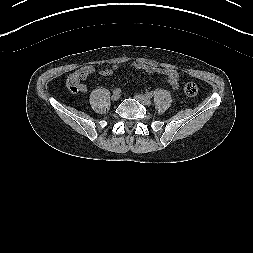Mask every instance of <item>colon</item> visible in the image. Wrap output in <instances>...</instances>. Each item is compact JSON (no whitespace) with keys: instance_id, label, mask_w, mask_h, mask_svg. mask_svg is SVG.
<instances>
[{"instance_id":"colon-1","label":"colon","mask_w":253,"mask_h":253,"mask_svg":"<svg viewBox=\"0 0 253 253\" xmlns=\"http://www.w3.org/2000/svg\"><path fill=\"white\" fill-rule=\"evenodd\" d=\"M87 75L88 73L83 68L73 73L67 81L68 89L75 93L78 92L82 80H84ZM184 92L187 96H195L198 93V87L194 82H188L184 86Z\"/></svg>"}]
</instances>
